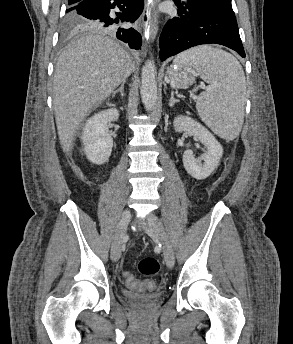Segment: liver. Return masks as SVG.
I'll return each mask as SVG.
<instances>
[{
  "mask_svg": "<svg viewBox=\"0 0 293 344\" xmlns=\"http://www.w3.org/2000/svg\"><path fill=\"white\" fill-rule=\"evenodd\" d=\"M134 62L109 37L88 34L59 56L53 81V103L60 144L73 148L77 130L90 112L131 75Z\"/></svg>",
  "mask_w": 293,
  "mask_h": 344,
  "instance_id": "6515ba94",
  "label": "liver"
}]
</instances>
